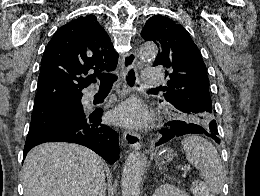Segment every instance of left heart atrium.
Masks as SVG:
<instances>
[{"mask_svg": "<svg viewBox=\"0 0 260 196\" xmlns=\"http://www.w3.org/2000/svg\"><path fill=\"white\" fill-rule=\"evenodd\" d=\"M114 122L132 128L144 126L149 121V113L136 99L123 102L112 113Z\"/></svg>", "mask_w": 260, "mask_h": 196, "instance_id": "1", "label": "left heart atrium"}]
</instances>
